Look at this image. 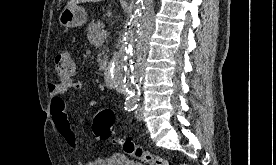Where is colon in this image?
<instances>
[{
  "mask_svg": "<svg viewBox=\"0 0 276 165\" xmlns=\"http://www.w3.org/2000/svg\"><path fill=\"white\" fill-rule=\"evenodd\" d=\"M76 73V66L71 54L67 51L60 52L55 57V74L60 80L72 78ZM115 115L112 110L103 108L100 109L92 123L93 133L100 140H112L115 143L122 145L123 150L129 156L143 161L147 165H168L167 161L161 157L154 155L128 138L115 137L113 132V124ZM185 165V164H182Z\"/></svg>",
  "mask_w": 276,
  "mask_h": 165,
  "instance_id": "5ec220e1",
  "label": "colon"
}]
</instances>
